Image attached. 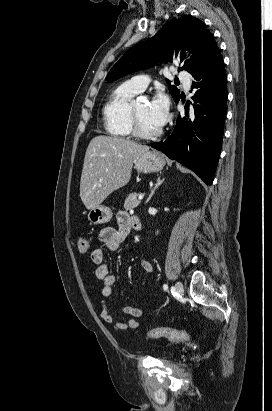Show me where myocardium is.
<instances>
[{
  "label": "myocardium",
  "mask_w": 272,
  "mask_h": 411,
  "mask_svg": "<svg viewBox=\"0 0 272 411\" xmlns=\"http://www.w3.org/2000/svg\"><path fill=\"white\" fill-rule=\"evenodd\" d=\"M128 116H129L131 133L134 136L141 138V139H155L162 134V129L160 128L153 132H148L141 128L138 122V119H137L136 112H135L134 103H130L129 110H128Z\"/></svg>",
  "instance_id": "myocardium-1"
}]
</instances>
